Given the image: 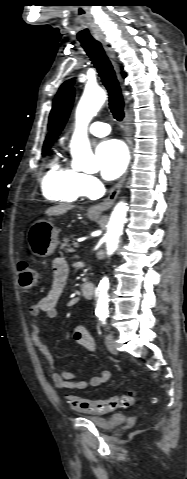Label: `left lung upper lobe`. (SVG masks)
<instances>
[{"label": "left lung upper lobe", "instance_id": "1", "mask_svg": "<svg viewBox=\"0 0 187 479\" xmlns=\"http://www.w3.org/2000/svg\"><path fill=\"white\" fill-rule=\"evenodd\" d=\"M74 83L73 80H69V81H66L62 84V86L60 87L56 97H55V100H54V103H53V107H52V110H51V113H50V116H49V128H51L53 126V124L55 123V120L57 119L58 117V114L60 112V109L63 105V102H64V99L67 95V92L70 88V86Z\"/></svg>", "mask_w": 187, "mask_h": 479}]
</instances>
